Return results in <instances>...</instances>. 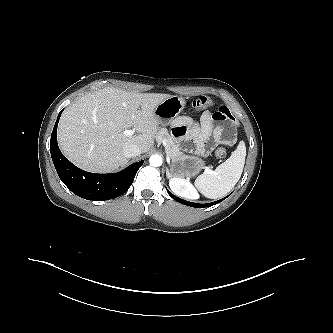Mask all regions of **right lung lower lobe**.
Masks as SVG:
<instances>
[{
  "mask_svg": "<svg viewBox=\"0 0 333 333\" xmlns=\"http://www.w3.org/2000/svg\"><path fill=\"white\" fill-rule=\"evenodd\" d=\"M62 111L58 115L50 140L52 160L62 182L74 194L87 200L103 201L124 194L144 161L113 174L89 173L77 168L63 156L57 144V126Z\"/></svg>",
  "mask_w": 333,
  "mask_h": 333,
  "instance_id": "1",
  "label": "right lung lower lobe"
}]
</instances>
